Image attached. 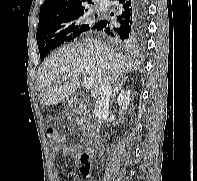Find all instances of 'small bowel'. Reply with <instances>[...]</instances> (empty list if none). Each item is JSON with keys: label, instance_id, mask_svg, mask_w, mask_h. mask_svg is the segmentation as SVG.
I'll list each match as a JSON object with an SVG mask.
<instances>
[{"label": "small bowel", "instance_id": "1", "mask_svg": "<svg viewBox=\"0 0 197 181\" xmlns=\"http://www.w3.org/2000/svg\"><path fill=\"white\" fill-rule=\"evenodd\" d=\"M76 150H77V147L66 146V147L63 148L62 152H63L64 155H69V154L74 153ZM55 158H56L55 153H52L51 154V159L54 161ZM77 161L79 162V159H77ZM55 175L58 176L59 175V172L58 171H55Z\"/></svg>", "mask_w": 197, "mask_h": 181}]
</instances>
